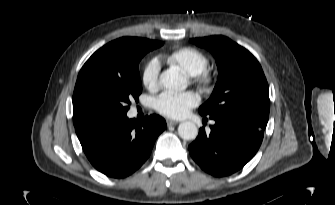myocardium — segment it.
<instances>
[{
	"label": "myocardium",
	"instance_id": "1",
	"mask_svg": "<svg viewBox=\"0 0 335 205\" xmlns=\"http://www.w3.org/2000/svg\"><path fill=\"white\" fill-rule=\"evenodd\" d=\"M193 80L203 87H208L213 83V75L211 72L204 69L200 73L193 75Z\"/></svg>",
	"mask_w": 335,
	"mask_h": 205
}]
</instances>
